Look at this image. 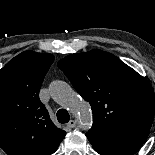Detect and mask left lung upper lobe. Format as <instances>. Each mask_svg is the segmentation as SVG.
Here are the masks:
<instances>
[{
	"label": "left lung upper lobe",
	"mask_w": 155,
	"mask_h": 155,
	"mask_svg": "<svg viewBox=\"0 0 155 155\" xmlns=\"http://www.w3.org/2000/svg\"><path fill=\"white\" fill-rule=\"evenodd\" d=\"M58 67L91 105L93 125L89 132L150 129L155 112L154 90L116 56L102 50L75 53L59 60Z\"/></svg>",
	"instance_id": "1"
}]
</instances>
